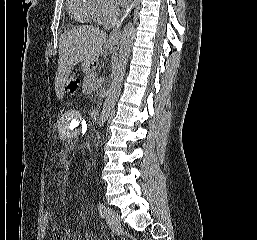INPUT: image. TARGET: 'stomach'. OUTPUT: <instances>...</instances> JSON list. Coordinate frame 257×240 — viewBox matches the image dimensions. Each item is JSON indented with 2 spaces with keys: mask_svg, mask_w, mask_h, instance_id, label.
Returning a JSON list of instances; mask_svg holds the SVG:
<instances>
[{
  "mask_svg": "<svg viewBox=\"0 0 257 240\" xmlns=\"http://www.w3.org/2000/svg\"><path fill=\"white\" fill-rule=\"evenodd\" d=\"M108 48H109V50H114L115 46H114L113 44H109V45H108ZM83 68H84V71L89 72V71H91V70H90L91 64H86V63H84V64H83Z\"/></svg>",
  "mask_w": 257,
  "mask_h": 240,
  "instance_id": "obj_1",
  "label": "stomach"
}]
</instances>
